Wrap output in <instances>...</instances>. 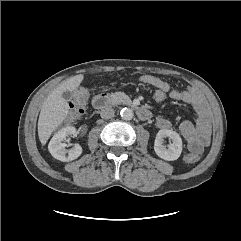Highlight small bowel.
Masks as SVG:
<instances>
[{
    "label": "small bowel",
    "mask_w": 241,
    "mask_h": 241,
    "mask_svg": "<svg viewBox=\"0 0 241 241\" xmlns=\"http://www.w3.org/2000/svg\"><path fill=\"white\" fill-rule=\"evenodd\" d=\"M140 80L148 86L164 89L171 99L189 104L193 108L195 121H183L180 125V133L186 140L188 149L193 154H200L209 144L211 133L210 115L202 95L193 88L173 87L152 75H141ZM156 126L160 129H168L172 123L169 119L160 116L156 118Z\"/></svg>",
    "instance_id": "1"
}]
</instances>
